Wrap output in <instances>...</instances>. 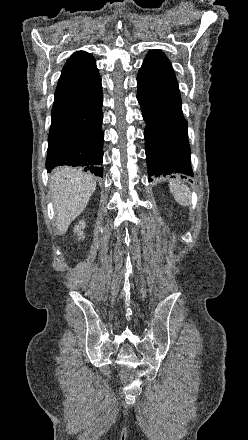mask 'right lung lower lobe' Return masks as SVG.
Listing matches in <instances>:
<instances>
[{"label":"right lung lower lobe","mask_w":248,"mask_h":440,"mask_svg":"<svg viewBox=\"0 0 248 440\" xmlns=\"http://www.w3.org/2000/svg\"><path fill=\"white\" fill-rule=\"evenodd\" d=\"M103 93L101 79L90 86L55 95L46 167L81 166L103 177Z\"/></svg>","instance_id":"right-lung-lower-lobe-1"}]
</instances>
